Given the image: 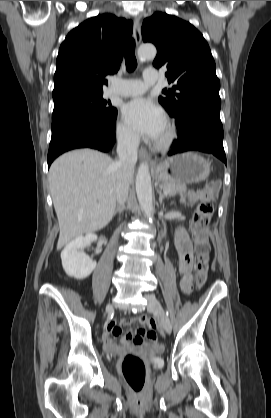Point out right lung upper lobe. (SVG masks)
Listing matches in <instances>:
<instances>
[{"label":"right lung upper lobe","mask_w":271,"mask_h":418,"mask_svg":"<svg viewBox=\"0 0 271 418\" xmlns=\"http://www.w3.org/2000/svg\"><path fill=\"white\" fill-rule=\"evenodd\" d=\"M132 22L111 14L90 18L61 44L54 74V101L78 94L103 92L105 76L120 67Z\"/></svg>","instance_id":"right-lung-upper-lobe-1"}]
</instances>
